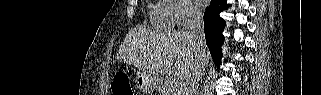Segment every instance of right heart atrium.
Wrapping results in <instances>:
<instances>
[{
  "instance_id": "d8ad5b80",
  "label": "right heart atrium",
  "mask_w": 321,
  "mask_h": 95,
  "mask_svg": "<svg viewBox=\"0 0 321 95\" xmlns=\"http://www.w3.org/2000/svg\"><path fill=\"white\" fill-rule=\"evenodd\" d=\"M167 15L176 25H187L200 16V11L189 0H163Z\"/></svg>"
}]
</instances>
